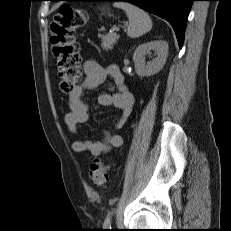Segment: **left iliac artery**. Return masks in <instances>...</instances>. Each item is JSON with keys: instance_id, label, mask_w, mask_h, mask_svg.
<instances>
[{"instance_id": "44dca946", "label": "left iliac artery", "mask_w": 231, "mask_h": 231, "mask_svg": "<svg viewBox=\"0 0 231 231\" xmlns=\"http://www.w3.org/2000/svg\"><path fill=\"white\" fill-rule=\"evenodd\" d=\"M112 212H110L106 218H105V221H104V224H103V227L105 229H111V219H112Z\"/></svg>"}]
</instances>
